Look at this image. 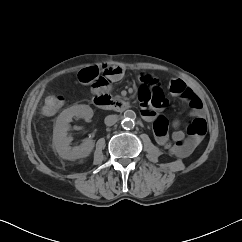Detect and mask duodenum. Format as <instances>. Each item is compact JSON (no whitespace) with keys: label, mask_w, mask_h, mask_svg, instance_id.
<instances>
[{"label":"duodenum","mask_w":242,"mask_h":242,"mask_svg":"<svg viewBox=\"0 0 242 242\" xmlns=\"http://www.w3.org/2000/svg\"><path fill=\"white\" fill-rule=\"evenodd\" d=\"M93 103L97 108L125 111L131 107V104L123 99H116L105 92H94Z\"/></svg>","instance_id":"410a0bca"}]
</instances>
